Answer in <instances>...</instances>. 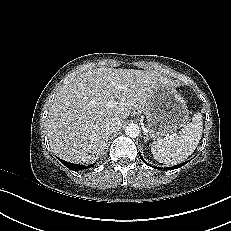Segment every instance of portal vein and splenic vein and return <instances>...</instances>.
<instances>
[{"mask_svg":"<svg viewBox=\"0 0 231 231\" xmlns=\"http://www.w3.org/2000/svg\"><path fill=\"white\" fill-rule=\"evenodd\" d=\"M117 104V102L116 101H108V102H106V106H109V107H114L115 105Z\"/></svg>","mask_w":231,"mask_h":231,"instance_id":"obj_1","label":"portal vein and splenic vein"}]
</instances>
